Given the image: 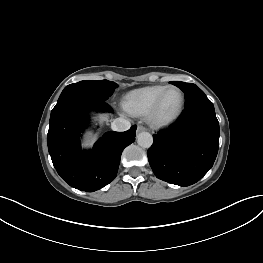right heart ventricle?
Instances as JSON below:
<instances>
[{
  "label": "right heart ventricle",
  "mask_w": 263,
  "mask_h": 263,
  "mask_svg": "<svg viewBox=\"0 0 263 263\" xmlns=\"http://www.w3.org/2000/svg\"><path fill=\"white\" fill-rule=\"evenodd\" d=\"M167 87L166 85H154L134 89L123 98L122 107L132 116H147L158 96Z\"/></svg>",
  "instance_id": "e07e8e85"
}]
</instances>
